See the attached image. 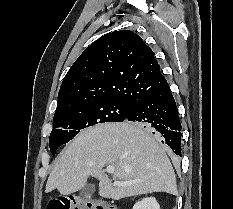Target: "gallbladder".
<instances>
[{
    "label": "gallbladder",
    "mask_w": 233,
    "mask_h": 209,
    "mask_svg": "<svg viewBox=\"0 0 233 209\" xmlns=\"http://www.w3.org/2000/svg\"><path fill=\"white\" fill-rule=\"evenodd\" d=\"M94 192V187L93 186H89V187H84L82 190V194L86 197H89L93 194Z\"/></svg>",
    "instance_id": "obj_1"
}]
</instances>
